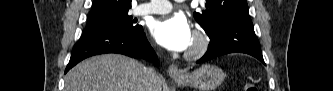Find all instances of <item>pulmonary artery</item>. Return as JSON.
I'll return each instance as SVG.
<instances>
[{"mask_svg":"<svg viewBox=\"0 0 333 91\" xmlns=\"http://www.w3.org/2000/svg\"><path fill=\"white\" fill-rule=\"evenodd\" d=\"M171 9V3L167 0H152L138 6L136 13L139 15L164 14L170 12Z\"/></svg>","mask_w":333,"mask_h":91,"instance_id":"1","label":"pulmonary artery"}]
</instances>
